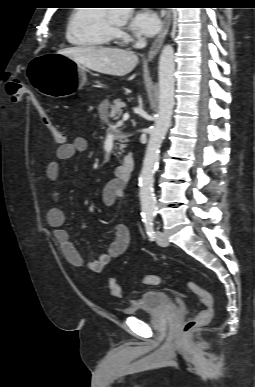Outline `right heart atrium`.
Segmentation results:
<instances>
[{"label":"right heart atrium","instance_id":"right-heart-atrium-1","mask_svg":"<svg viewBox=\"0 0 255 387\" xmlns=\"http://www.w3.org/2000/svg\"><path fill=\"white\" fill-rule=\"evenodd\" d=\"M117 35L121 38H127V35L122 31H117Z\"/></svg>","mask_w":255,"mask_h":387}]
</instances>
